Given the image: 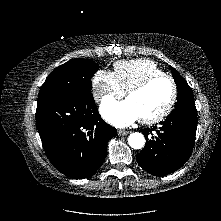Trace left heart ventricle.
<instances>
[{
    "instance_id": "b2bd125f",
    "label": "left heart ventricle",
    "mask_w": 221,
    "mask_h": 221,
    "mask_svg": "<svg viewBox=\"0 0 221 221\" xmlns=\"http://www.w3.org/2000/svg\"><path fill=\"white\" fill-rule=\"evenodd\" d=\"M172 94V86L165 78L151 83L145 90L131 94L128 100L134 105L140 118L158 114L168 103Z\"/></svg>"
}]
</instances>
